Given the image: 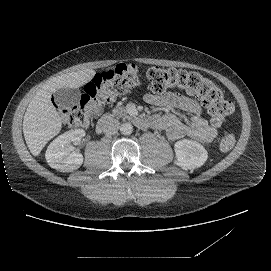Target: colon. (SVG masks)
<instances>
[{"instance_id": "obj_1", "label": "colon", "mask_w": 271, "mask_h": 271, "mask_svg": "<svg viewBox=\"0 0 271 271\" xmlns=\"http://www.w3.org/2000/svg\"><path fill=\"white\" fill-rule=\"evenodd\" d=\"M138 77V68L133 63H121L114 70L97 74L86 86L80 102L62 111L64 122L74 127L88 126L105 104L132 90L138 84ZM147 78L153 94L178 89L198 96L207 106L215 127L222 126L234 111V105L225 99L223 90L198 72L157 66L148 70ZM235 143V135L229 133L221 138L219 147L227 152Z\"/></svg>"}]
</instances>
